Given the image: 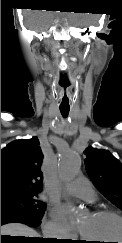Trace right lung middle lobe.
I'll list each match as a JSON object with an SVG mask.
<instances>
[{
  "mask_svg": "<svg viewBox=\"0 0 122 243\" xmlns=\"http://www.w3.org/2000/svg\"><path fill=\"white\" fill-rule=\"evenodd\" d=\"M37 195H14L1 197V208L13 209L29 213L42 219L46 204L36 200Z\"/></svg>",
  "mask_w": 122,
  "mask_h": 243,
  "instance_id": "dd1d6c3e",
  "label": "right lung middle lobe"
}]
</instances>
